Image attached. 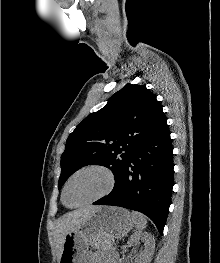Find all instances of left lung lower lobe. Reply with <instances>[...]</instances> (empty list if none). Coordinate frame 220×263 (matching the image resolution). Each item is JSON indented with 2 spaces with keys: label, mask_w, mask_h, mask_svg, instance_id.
Instances as JSON below:
<instances>
[{
  "label": "left lung lower lobe",
  "mask_w": 220,
  "mask_h": 263,
  "mask_svg": "<svg viewBox=\"0 0 220 263\" xmlns=\"http://www.w3.org/2000/svg\"><path fill=\"white\" fill-rule=\"evenodd\" d=\"M173 167V148L164 118L136 145L112 192L93 204L139 211L162 234L174 185Z\"/></svg>",
  "instance_id": "obj_1"
}]
</instances>
